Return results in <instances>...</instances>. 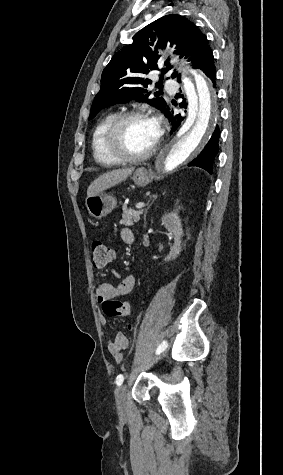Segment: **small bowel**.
I'll return each instance as SVG.
<instances>
[{
	"instance_id": "c3829d8e",
	"label": "small bowel",
	"mask_w": 283,
	"mask_h": 475,
	"mask_svg": "<svg viewBox=\"0 0 283 475\" xmlns=\"http://www.w3.org/2000/svg\"><path fill=\"white\" fill-rule=\"evenodd\" d=\"M121 237L123 242L126 245H132L135 242V236L130 229H123L121 231ZM135 287V278L132 275L127 276L119 285L113 286L108 283L99 284L95 289L96 301L103 306L104 312V303L108 293H122L123 296L128 295ZM130 313L129 311H127ZM109 317H118V315H107ZM103 326H106V320L103 317L101 320ZM129 340L128 337L119 333L115 338H109L107 347L110 354L113 356L114 360L117 363H120L123 360V352L128 348Z\"/></svg>"
}]
</instances>
